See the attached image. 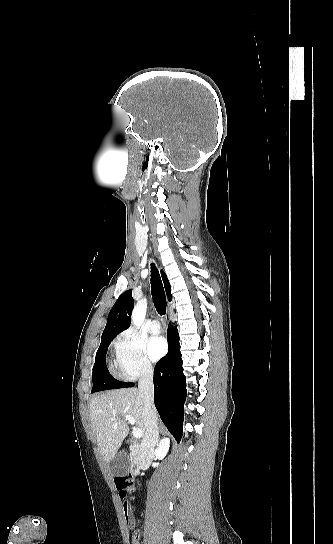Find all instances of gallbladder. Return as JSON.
<instances>
[{"label": "gallbladder", "mask_w": 333, "mask_h": 544, "mask_svg": "<svg viewBox=\"0 0 333 544\" xmlns=\"http://www.w3.org/2000/svg\"><path fill=\"white\" fill-rule=\"evenodd\" d=\"M131 466V461L125 451H120L110 461V468L114 476L126 475Z\"/></svg>", "instance_id": "obj_1"}]
</instances>
